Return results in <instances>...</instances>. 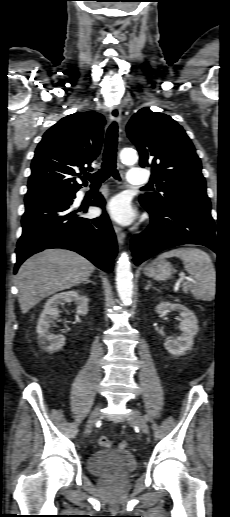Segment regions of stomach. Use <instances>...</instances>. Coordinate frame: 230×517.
<instances>
[{
	"mask_svg": "<svg viewBox=\"0 0 230 517\" xmlns=\"http://www.w3.org/2000/svg\"><path fill=\"white\" fill-rule=\"evenodd\" d=\"M173 272L172 265L166 260L155 261L144 268V274L156 280H166Z\"/></svg>",
	"mask_w": 230,
	"mask_h": 517,
	"instance_id": "1",
	"label": "stomach"
}]
</instances>
